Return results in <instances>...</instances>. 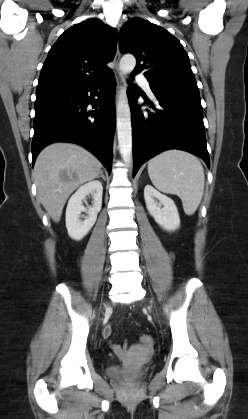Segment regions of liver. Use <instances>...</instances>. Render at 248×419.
Here are the masks:
<instances>
[{"label":"liver","mask_w":248,"mask_h":419,"mask_svg":"<svg viewBox=\"0 0 248 419\" xmlns=\"http://www.w3.org/2000/svg\"><path fill=\"white\" fill-rule=\"evenodd\" d=\"M101 167L92 153L76 144L55 143L40 152L33 170L37 197L53 221H60L70 194L98 177Z\"/></svg>","instance_id":"1"}]
</instances>
